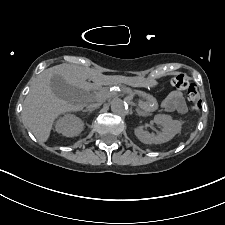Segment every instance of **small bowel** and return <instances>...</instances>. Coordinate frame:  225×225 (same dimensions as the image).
Segmentation results:
<instances>
[{
	"instance_id": "obj_1",
	"label": "small bowel",
	"mask_w": 225,
	"mask_h": 225,
	"mask_svg": "<svg viewBox=\"0 0 225 225\" xmlns=\"http://www.w3.org/2000/svg\"><path fill=\"white\" fill-rule=\"evenodd\" d=\"M163 109L167 112L185 114L187 112V105L183 94L178 91L170 92L163 103Z\"/></svg>"
}]
</instances>
